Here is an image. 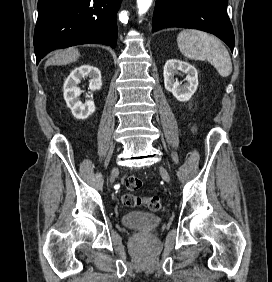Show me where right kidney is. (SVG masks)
Masks as SVG:
<instances>
[{
  "instance_id": "1",
  "label": "right kidney",
  "mask_w": 272,
  "mask_h": 282,
  "mask_svg": "<svg viewBox=\"0 0 272 282\" xmlns=\"http://www.w3.org/2000/svg\"><path fill=\"white\" fill-rule=\"evenodd\" d=\"M85 77H89V89L92 92L100 90L101 73L98 68L90 65H82L72 70L63 85L64 99L76 119H86L95 111V104L91 99L83 104L78 98L82 91L77 85ZM86 97L90 98L89 95Z\"/></svg>"
}]
</instances>
